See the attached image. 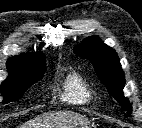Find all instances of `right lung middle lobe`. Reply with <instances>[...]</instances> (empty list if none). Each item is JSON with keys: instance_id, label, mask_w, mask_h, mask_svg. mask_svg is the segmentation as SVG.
Masks as SVG:
<instances>
[{"instance_id": "dd1d6c3e", "label": "right lung middle lobe", "mask_w": 142, "mask_h": 128, "mask_svg": "<svg viewBox=\"0 0 142 128\" xmlns=\"http://www.w3.org/2000/svg\"><path fill=\"white\" fill-rule=\"evenodd\" d=\"M45 69V62L39 63L27 69L19 77L6 79L0 88L4 96V103L20 99L31 85L42 79Z\"/></svg>"}]
</instances>
